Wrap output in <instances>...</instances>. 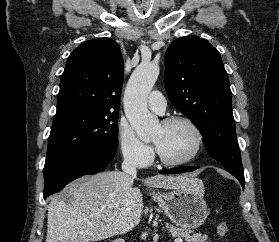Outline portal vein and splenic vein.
<instances>
[{
  "label": "portal vein and splenic vein",
  "mask_w": 279,
  "mask_h": 242,
  "mask_svg": "<svg viewBox=\"0 0 279 242\" xmlns=\"http://www.w3.org/2000/svg\"><path fill=\"white\" fill-rule=\"evenodd\" d=\"M182 239H176L175 242H182Z\"/></svg>",
  "instance_id": "1"
}]
</instances>
